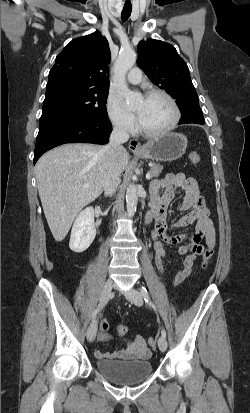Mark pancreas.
<instances>
[{
  "label": "pancreas",
  "instance_id": "obj_1",
  "mask_svg": "<svg viewBox=\"0 0 250 413\" xmlns=\"http://www.w3.org/2000/svg\"><path fill=\"white\" fill-rule=\"evenodd\" d=\"M162 170H163V166L158 163H155L151 167L149 173L151 174L152 177H158L160 173L162 172Z\"/></svg>",
  "mask_w": 250,
  "mask_h": 413
}]
</instances>
